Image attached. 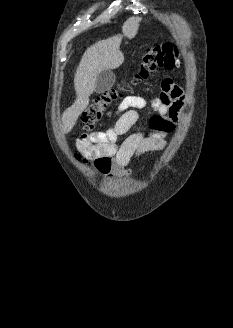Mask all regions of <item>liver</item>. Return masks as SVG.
<instances>
[{
    "mask_svg": "<svg viewBox=\"0 0 233 328\" xmlns=\"http://www.w3.org/2000/svg\"><path fill=\"white\" fill-rule=\"evenodd\" d=\"M139 19H129L122 28L123 35L129 39L135 37ZM122 35H115L98 41L83 54L74 75L76 100L62 114V131L68 133L77 122L79 115L89 104V96L95 91L96 79L103 70L116 69L124 62L120 51Z\"/></svg>",
    "mask_w": 233,
    "mask_h": 328,
    "instance_id": "liver-1",
    "label": "liver"
}]
</instances>
